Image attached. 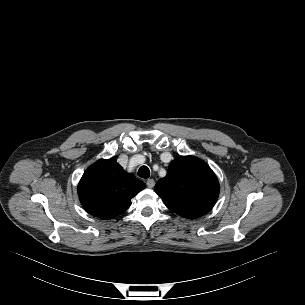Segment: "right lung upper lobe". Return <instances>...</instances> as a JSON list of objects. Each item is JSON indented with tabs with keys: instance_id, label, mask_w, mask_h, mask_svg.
Wrapping results in <instances>:
<instances>
[{
	"instance_id": "cb5924a9",
	"label": "right lung upper lobe",
	"mask_w": 305,
	"mask_h": 305,
	"mask_svg": "<svg viewBox=\"0 0 305 305\" xmlns=\"http://www.w3.org/2000/svg\"><path fill=\"white\" fill-rule=\"evenodd\" d=\"M145 183L124 171L116 159H100L83 174L78 195L85 210L101 219H112L131 205Z\"/></svg>"
}]
</instances>
